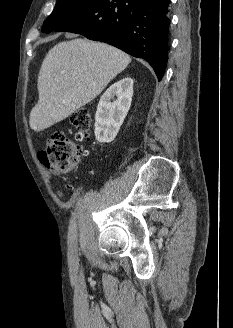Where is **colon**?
Returning <instances> with one entry per match:
<instances>
[{
  "label": "colon",
  "mask_w": 233,
  "mask_h": 328,
  "mask_svg": "<svg viewBox=\"0 0 233 328\" xmlns=\"http://www.w3.org/2000/svg\"><path fill=\"white\" fill-rule=\"evenodd\" d=\"M69 120L71 131L79 143L73 142L67 133L57 131L49 137L45 149L38 154L40 162L53 172L73 170L87 154L84 143L90 140V112L87 109L77 110Z\"/></svg>",
  "instance_id": "obj_1"
}]
</instances>
